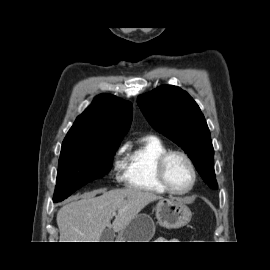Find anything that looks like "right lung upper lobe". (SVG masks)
Listing matches in <instances>:
<instances>
[{"instance_id":"obj_1","label":"right lung upper lobe","mask_w":270,"mask_h":270,"mask_svg":"<svg viewBox=\"0 0 270 270\" xmlns=\"http://www.w3.org/2000/svg\"><path fill=\"white\" fill-rule=\"evenodd\" d=\"M132 120V104L109 95L100 94L77 117L67 133L65 142H120Z\"/></svg>"}]
</instances>
